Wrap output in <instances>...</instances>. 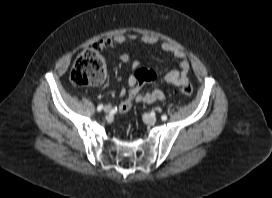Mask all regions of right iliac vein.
Masks as SVG:
<instances>
[{
    "instance_id": "1",
    "label": "right iliac vein",
    "mask_w": 272,
    "mask_h": 198,
    "mask_svg": "<svg viewBox=\"0 0 272 198\" xmlns=\"http://www.w3.org/2000/svg\"><path fill=\"white\" fill-rule=\"evenodd\" d=\"M103 110L105 113H110L112 110V107L110 105H106Z\"/></svg>"
}]
</instances>
